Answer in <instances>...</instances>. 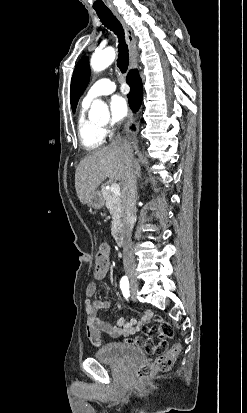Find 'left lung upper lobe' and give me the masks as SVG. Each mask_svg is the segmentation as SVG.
Instances as JSON below:
<instances>
[{"instance_id":"1","label":"left lung upper lobe","mask_w":247,"mask_h":413,"mask_svg":"<svg viewBox=\"0 0 247 413\" xmlns=\"http://www.w3.org/2000/svg\"><path fill=\"white\" fill-rule=\"evenodd\" d=\"M89 76L88 58L84 57L77 63L71 80L70 101L73 112H75L78 100L88 85Z\"/></svg>"}]
</instances>
